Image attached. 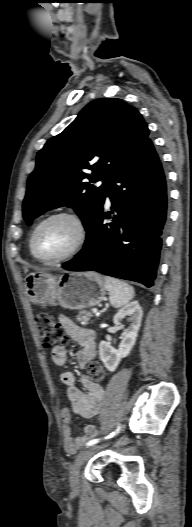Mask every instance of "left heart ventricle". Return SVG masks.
<instances>
[{
    "mask_svg": "<svg viewBox=\"0 0 192 527\" xmlns=\"http://www.w3.org/2000/svg\"><path fill=\"white\" fill-rule=\"evenodd\" d=\"M77 239V227L68 218L58 217L42 226L37 235L36 249L43 258H55L67 253Z\"/></svg>",
    "mask_w": 192,
    "mask_h": 527,
    "instance_id": "obj_1",
    "label": "left heart ventricle"
}]
</instances>
